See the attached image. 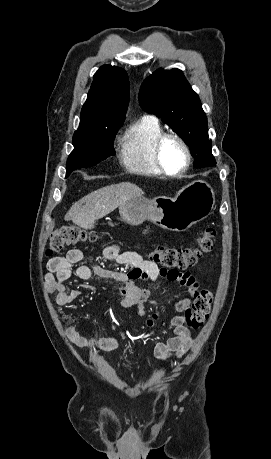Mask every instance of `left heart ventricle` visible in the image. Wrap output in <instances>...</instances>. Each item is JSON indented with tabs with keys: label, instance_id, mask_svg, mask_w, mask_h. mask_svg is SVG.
Returning <instances> with one entry per match:
<instances>
[{
	"label": "left heart ventricle",
	"instance_id": "b2bd125f",
	"mask_svg": "<svg viewBox=\"0 0 271 459\" xmlns=\"http://www.w3.org/2000/svg\"><path fill=\"white\" fill-rule=\"evenodd\" d=\"M162 157L171 171L182 170L187 164V153L182 143L174 137L167 138L162 145Z\"/></svg>",
	"mask_w": 271,
	"mask_h": 459
}]
</instances>
